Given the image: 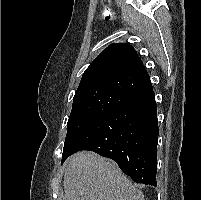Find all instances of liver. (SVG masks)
<instances>
[{"label": "liver", "mask_w": 201, "mask_h": 200, "mask_svg": "<svg viewBox=\"0 0 201 200\" xmlns=\"http://www.w3.org/2000/svg\"><path fill=\"white\" fill-rule=\"evenodd\" d=\"M64 200H144L117 165L93 152H78L66 163Z\"/></svg>", "instance_id": "obj_1"}]
</instances>
